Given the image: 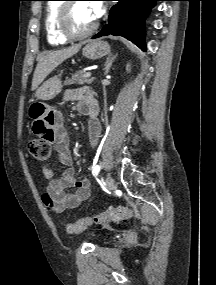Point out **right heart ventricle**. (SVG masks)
I'll return each mask as SVG.
<instances>
[{
    "label": "right heart ventricle",
    "instance_id": "obj_1",
    "mask_svg": "<svg viewBox=\"0 0 216 285\" xmlns=\"http://www.w3.org/2000/svg\"><path fill=\"white\" fill-rule=\"evenodd\" d=\"M62 3L53 0L49 2L46 6V14H45V32L47 41L52 46H59L67 43V39L62 37L58 32L57 28V17L60 11Z\"/></svg>",
    "mask_w": 216,
    "mask_h": 285
}]
</instances>
